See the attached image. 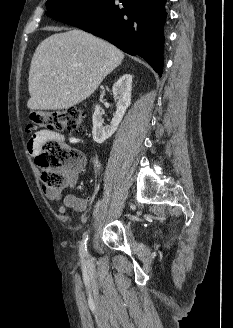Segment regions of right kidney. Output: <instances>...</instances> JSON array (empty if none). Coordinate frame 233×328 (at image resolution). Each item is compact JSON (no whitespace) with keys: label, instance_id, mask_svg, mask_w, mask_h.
Returning <instances> with one entry per match:
<instances>
[{"label":"right kidney","instance_id":"obj_1","mask_svg":"<svg viewBox=\"0 0 233 328\" xmlns=\"http://www.w3.org/2000/svg\"><path fill=\"white\" fill-rule=\"evenodd\" d=\"M131 86H132V75L124 74L117 82L114 83L112 91L116 104V112L111 121V125L104 127L102 113L100 111V106H95V111L92 117L93 121V140L96 143H103L106 139L110 138L113 133L117 130L127 108L131 103Z\"/></svg>","mask_w":233,"mask_h":328}]
</instances>
